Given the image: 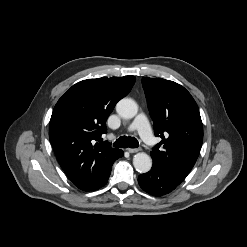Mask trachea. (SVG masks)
Wrapping results in <instances>:
<instances>
[{
  "label": "trachea",
  "mask_w": 247,
  "mask_h": 247,
  "mask_svg": "<svg viewBox=\"0 0 247 247\" xmlns=\"http://www.w3.org/2000/svg\"><path fill=\"white\" fill-rule=\"evenodd\" d=\"M113 146L119 148H137L139 143L134 137L121 136L114 142Z\"/></svg>",
  "instance_id": "3493384b"
}]
</instances>
